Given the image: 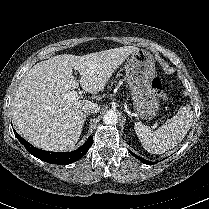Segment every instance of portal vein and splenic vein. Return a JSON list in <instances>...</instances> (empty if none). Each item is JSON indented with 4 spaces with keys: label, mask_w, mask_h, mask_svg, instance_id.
<instances>
[{
    "label": "portal vein and splenic vein",
    "mask_w": 209,
    "mask_h": 209,
    "mask_svg": "<svg viewBox=\"0 0 209 209\" xmlns=\"http://www.w3.org/2000/svg\"><path fill=\"white\" fill-rule=\"evenodd\" d=\"M63 97L69 101H74V100H78L80 98V95L75 91H71L63 94Z\"/></svg>",
    "instance_id": "obj_1"
}]
</instances>
